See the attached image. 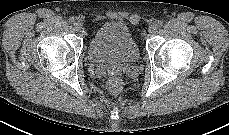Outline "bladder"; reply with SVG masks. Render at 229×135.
<instances>
[{
	"label": "bladder",
	"mask_w": 229,
	"mask_h": 135,
	"mask_svg": "<svg viewBox=\"0 0 229 135\" xmlns=\"http://www.w3.org/2000/svg\"><path fill=\"white\" fill-rule=\"evenodd\" d=\"M87 53L89 60L96 64H133L140 57L138 45L130 30L120 22H107L101 25L90 38Z\"/></svg>",
	"instance_id": "obj_1"
}]
</instances>
